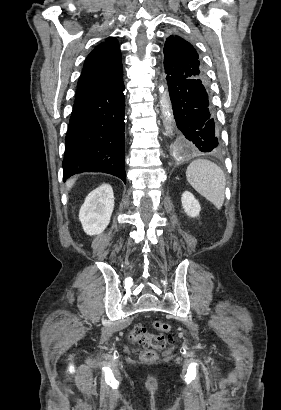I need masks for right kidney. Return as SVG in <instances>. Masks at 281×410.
<instances>
[{
	"label": "right kidney",
	"mask_w": 281,
	"mask_h": 410,
	"mask_svg": "<svg viewBox=\"0 0 281 410\" xmlns=\"http://www.w3.org/2000/svg\"><path fill=\"white\" fill-rule=\"evenodd\" d=\"M114 194L110 184H102L86 197L79 211V220L87 235L102 233L110 222Z\"/></svg>",
	"instance_id": "obj_1"
}]
</instances>
